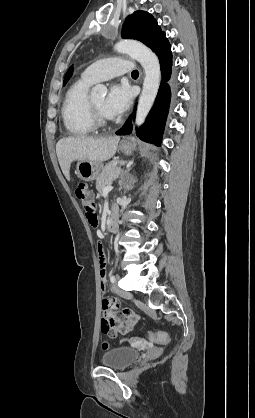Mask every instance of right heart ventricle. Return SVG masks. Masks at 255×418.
Returning a JSON list of instances; mask_svg holds the SVG:
<instances>
[{
  "label": "right heart ventricle",
  "mask_w": 255,
  "mask_h": 418,
  "mask_svg": "<svg viewBox=\"0 0 255 418\" xmlns=\"http://www.w3.org/2000/svg\"><path fill=\"white\" fill-rule=\"evenodd\" d=\"M93 83L83 76L67 90L62 105V119L67 132L73 136L91 134L95 126L89 111V88Z\"/></svg>",
  "instance_id": "e07e8e85"
}]
</instances>
